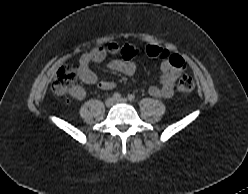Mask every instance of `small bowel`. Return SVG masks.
<instances>
[{
	"instance_id": "c3829d8e",
	"label": "small bowel",
	"mask_w": 248,
	"mask_h": 194,
	"mask_svg": "<svg viewBox=\"0 0 248 194\" xmlns=\"http://www.w3.org/2000/svg\"><path fill=\"white\" fill-rule=\"evenodd\" d=\"M120 53L121 58L113 59L106 64L107 69L132 76L136 72L132 58L139 53L138 46L125 44L119 46L110 43L105 47H97L83 54L79 59L78 74L80 79L88 85H96L101 90H111L114 82L110 80H100L91 70L92 63H103L108 56ZM146 53L152 58L161 60L162 75L158 85L148 86L149 93L154 97L170 98L174 94V85L178 77L185 69V61L179 55H171L168 51L155 46L146 47ZM71 95L77 100L85 98V90L76 86L71 90Z\"/></svg>"
}]
</instances>
